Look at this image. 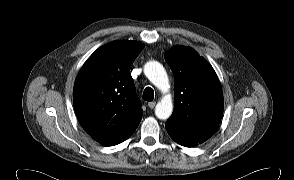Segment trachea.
Returning a JSON list of instances; mask_svg holds the SVG:
<instances>
[{
  "instance_id": "3493384b",
  "label": "trachea",
  "mask_w": 294,
  "mask_h": 180,
  "mask_svg": "<svg viewBox=\"0 0 294 180\" xmlns=\"http://www.w3.org/2000/svg\"><path fill=\"white\" fill-rule=\"evenodd\" d=\"M143 99L145 101H153L154 99V91L150 87H146L144 92H143Z\"/></svg>"
}]
</instances>
